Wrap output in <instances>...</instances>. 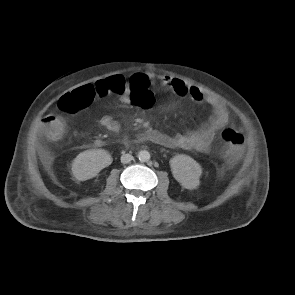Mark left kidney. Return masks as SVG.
Here are the masks:
<instances>
[{
  "label": "left kidney",
  "instance_id": "obj_1",
  "mask_svg": "<svg viewBox=\"0 0 295 295\" xmlns=\"http://www.w3.org/2000/svg\"><path fill=\"white\" fill-rule=\"evenodd\" d=\"M173 177L185 189H196L200 185L202 168L193 158L178 154L169 161Z\"/></svg>",
  "mask_w": 295,
  "mask_h": 295
}]
</instances>
